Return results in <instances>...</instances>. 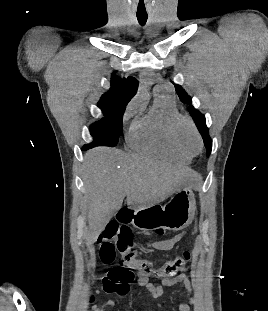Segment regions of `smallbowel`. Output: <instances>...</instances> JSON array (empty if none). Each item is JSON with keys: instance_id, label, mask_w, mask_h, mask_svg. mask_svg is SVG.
I'll use <instances>...</instances> for the list:
<instances>
[{"instance_id": "obj_1", "label": "small bowel", "mask_w": 268, "mask_h": 311, "mask_svg": "<svg viewBox=\"0 0 268 311\" xmlns=\"http://www.w3.org/2000/svg\"><path fill=\"white\" fill-rule=\"evenodd\" d=\"M156 232L158 234H161L162 229H157ZM184 235L185 233L182 232L170 237L162 238L157 241H150L145 243L144 247L160 251H168L171 250L184 237ZM134 269L136 272V285L144 287L154 299L161 298V296L163 295L164 287L174 286L179 283L183 284L189 295V302L180 304L178 309L179 311H191V307L195 304V296L192 283L185 273H179L172 278H162L159 284H153L149 282L148 274L140 271L135 266ZM113 306L114 302L110 300L99 306L95 311H106Z\"/></svg>"}]
</instances>
